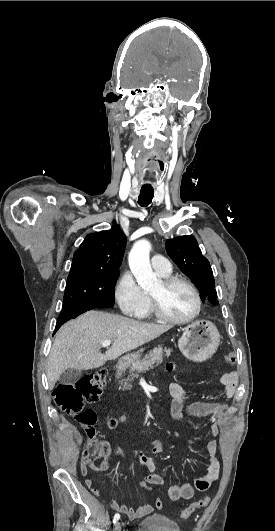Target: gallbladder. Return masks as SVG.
<instances>
[{
  "label": "gallbladder",
  "instance_id": "obj_1",
  "mask_svg": "<svg viewBox=\"0 0 275 531\" xmlns=\"http://www.w3.org/2000/svg\"><path fill=\"white\" fill-rule=\"evenodd\" d=\"M82 377V371L78 369H67L63 375H60V385H74Z\"/></svg>",
  "mask_w": 275,
  "mask_h": 531
}]
</instances>
